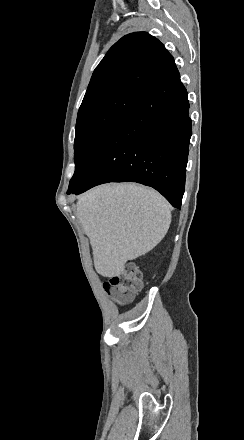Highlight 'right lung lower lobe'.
<instances>
[{
    "label": "right lung lower lobe",
    "instance_id": "98d812e1",
    "mask_svg": "<svg viewBox=\"0 0 244 440\" xmlns=\"http://www.w3.org/2000/svg\"><path fill=\"white\" fill-rule=\"evenodd\" d=\"M187 91L176 72L141 97L102 143L67 194L137 182L181 208L191 137Z\"/></svg>",
    "mask_w": 244,
    "mask_h": 440
}]
</instances>
